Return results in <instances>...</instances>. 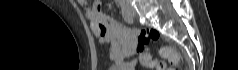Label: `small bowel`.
<instances>
[{"instance_id":"c3829d8e","label":"small bowel","mask_w":238,"mask_h":70,"mask_svg":"<svg viewBox=\"0 0 238 70\" xmlns=\"http://www.w3.org/2000/svg\"><path fill=\"white\" fill-rule=\"evenodd\" d=\"M80 7L85 11L90 21L91 29L101 44L109 45V57L119 70H135L137 60L127 61L136 54L139 47L137 29L127 27L112 17L104 14L99 4L90 6L87 0H78ZM145 53L140 55V61L145 63Z\"/></svg>"}]
</instances>
